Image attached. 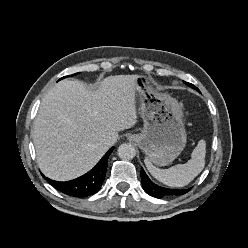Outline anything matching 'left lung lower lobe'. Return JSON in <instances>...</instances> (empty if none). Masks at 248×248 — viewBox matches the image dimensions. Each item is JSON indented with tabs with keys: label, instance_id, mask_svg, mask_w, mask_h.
Listing matches in <instances>:
<instances>
[{
	"label": "left lung lower lobe",
	"instance_id": "left-lung-lower-lobe-1",
	"mask_svg": "<svg viewBox=\"0 0 248 248\" xmlns=\"http://www.w3.org/2000/svg\"><path fill=\"white\" fill-rule=\"evenodd\" d=\"M140 175H141V180H142V185H143L144 191L148 195L155 197V198H162L165 196L184 195L185 193H187L188 191L191 190V188L177 190V189H167V188L160 187V186L154 184L149 179V177L147 176V174L145 173L143 168H141Z\"/></svg>",
	"mask_w": 248,
	"mask_h": 248
}]
</instances>
